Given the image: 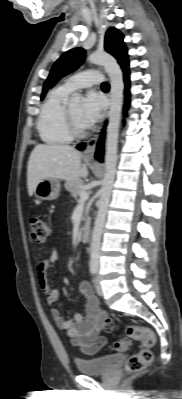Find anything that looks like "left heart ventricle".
Wrapping results in <instances>:
<instances>
[{"mask_svg": "<svg viewBox=\"0 0 182 399\" xmlns=\"http://www.w3.org/2000/svg\"><path fill=\"white\" fill-rule=\"evenodd\" d=\"M69 109H70L71 115L73 116L77 125L81 128H85V126L83 125V123L81 122V119H80V115H81V111H82L81 105L72 106Z\"/></svg>", "mask_w": 182, "mask_h": 399, "instance_id": "obj_1", "label": "left heart ventricle"}]
</instances>
